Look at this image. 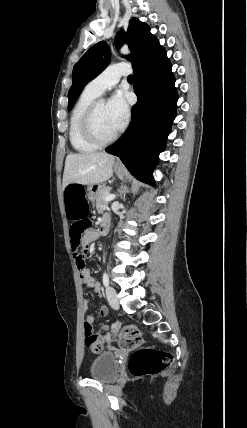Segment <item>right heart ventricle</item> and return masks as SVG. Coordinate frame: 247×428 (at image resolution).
Listing matches in <instances>:
<instances>
[{
	"instance_id": "1",
	"label": "right heart ventricle",
	"mask_w": 247,
	"mask_h": 428,
	"mask_svg": "<svg viewBox=\"0 0 247 428\" xmlns=\"http://www.w3.org/2000/svg\"><path fill=\"white\" fill-rule=\"evenodd\" d=\"M98 97L99 94L86 87L72 110L69 122V140L74 150L79 153L94 152L99 147L84 136L81 126L85 112Z\"/></svg>"
}]
</instances>
